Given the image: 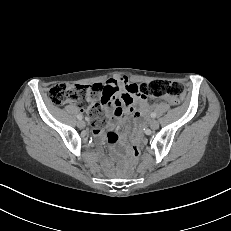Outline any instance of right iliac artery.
Masks as SVG:
<instances>
[{"label": "right iliac artery", "instance_id": "obj_1", "mask_svg": "<svg viewBox=\"0 0 231 231\" xmlns=\"http://www.w3.org/2000/svg\"><path fill=\"white\" fill-rule=\"evenodd\" d=\"M77 118L79 119V120H82V115H77Z\"/></svg>", "mask_w": 231, "mask_h": 231}]
</instances>
